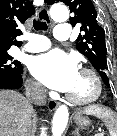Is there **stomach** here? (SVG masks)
I'll return each instance as SVG.
<instances>
[{"instance_id":"stomach-1","label":"stomach","mask_w":117,"mask_h":136,"mask_svg":"<svg viewBox=\"0 0 117 136\" xmlns=\"http://www.w3.org/2000/svg\"><path fill=\"white\" fill-rule=\"evenodd\" d=\"M75 123L80 127H86L90 125L89 119L82 115H77L75 117Z\"/></svg>"}]
</instances>
